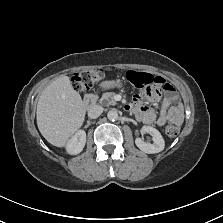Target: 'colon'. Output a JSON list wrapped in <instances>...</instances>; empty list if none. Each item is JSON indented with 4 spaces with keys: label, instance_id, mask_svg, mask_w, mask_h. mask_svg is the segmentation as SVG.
Instances as JSON below:
<instances>
[{
    "label": "colon",
    "instance_id": "colon-1",
    "mask_svg": "<svg viewBox=\"0 0 223 223\" xmlns=\"http://www.w3.org/2000/svg\"><path fill=\"white\" fill-rule=\"evenodd\" d=\"M127 77L136 87H152L157 92H162L166 87L162 80L149 73L129 71ZM103 78L104 72L101 69L84 70L74 73L71 76V83L76 91L84 92L92 88ZM179 132L180 128L178 126H169L166 128V133L170 137H176Z\"/></svg>",
    "mask_w": 223,
    "mask_h": 223
}]
</instances>
